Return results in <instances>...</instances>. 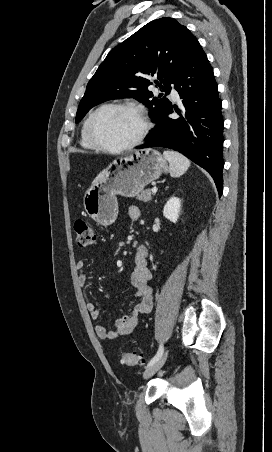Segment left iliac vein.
Returning <instances> with one entry per match:
<instances>
[{
  "label": "left iliac vein",
  "instance_id": "left-iliac-vein-1",
  "mask_svg": "<svg viewBox=\"0 0 272 452\" xmlns=\"http://www.w3.org/2000/svg\"><path fill=\"white\" fill-rule=\"evenodd\" d=\"M168 357V349L164 351L162 356L152 365L148 366L143 372V378L149 379L152 377L166 362Z\"/></svg>",
  "mask_w": 272,
  "mask_h": 452
}]
</instances>
